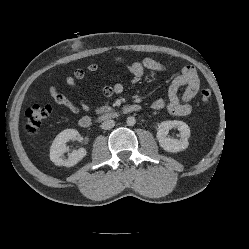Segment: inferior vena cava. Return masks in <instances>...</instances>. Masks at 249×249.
Masks as SVG:
<instances>
[{"label":"inferior vena cava","mask_w":249,"mask_h":249,"mask_svg":"<svg viewBox=\"0 0 249 249\" xmlns=\"http://www.w3.org/2000/svg\"><path fill=\"white\" fill-rule=\"evenodd\" d=\"M114 125H115L114 120H106L101 124V128L104 130H109V129L113 128Z\"/></svg>","instance_id":"obj_1"}]
</instances>
